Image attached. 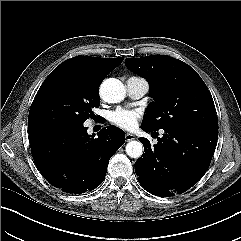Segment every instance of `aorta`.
<instances>
[{
	"instance_id": "aorta-1",
	"label": "aorta",
	"mask_w": 241,
	"mask_h": 241,
	"mask_svg": "<svg viewBox=\"0 0 241 241\" xmlns=\"http://www.w3.org/2000/svg\"><path fill=\"white\" fill-rule=\"evenodd\" d=\"M100 96L108 103H119L126 96L123 83L116 78H109L102 82L100 86ZM126 153L131 158H139L143 153V145L140 141H130L126 145Z\"/></svg>"
}]
</instances>
